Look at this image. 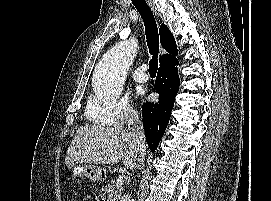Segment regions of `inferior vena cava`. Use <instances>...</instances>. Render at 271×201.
<instances>
[{"instance_id": "obj_1", "label": "inferior vena cava", "mask_w": 271, "mask_h": 201, "mask_svg": "<svg viewBox=\"0 0 271 201\" xmlns=\"http://www.w3.org/2000/svg\"><path fill=\"white\" fill-rule=\"evenodd\" d=\"M129 135L132 137V140L137 144L140 150V156L138 159V164L136 168H141L144 163L146 155V146H145V135L143 124L139 119V116L136 112H132L127 121Z\"/></svg>"}]
</instances>
